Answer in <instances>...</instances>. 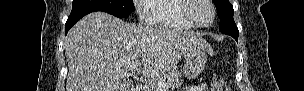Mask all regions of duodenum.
Listing matches in <instances>:
<instances>
[{"mask_svg": "<svg viewBox=\"0 0 304 91\" xmlns=\"http://www.w3.org/2000/svg\"><path fill=\"white\" fill-rule=\"evenodd\" d=\"M144 89L140 85H136L132 88V91H143Z\"/></svg>", "mask_w": 304, "mask_h": 91, "instance_id": "1", "label": "duodenum"}]
</instances>
